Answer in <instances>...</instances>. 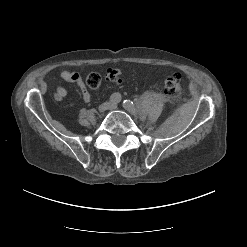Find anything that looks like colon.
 Masks as SVG:
<instances>
[{
  "instance_id": "5ec220e1",
  "label": "colon",
  "mask_w": 247,
  "mask_h": 247,
  "mask_svg": "<svg viewBox=\"0 0 247 247\" xmlns=\"http://www.w3.org/2000/svg\"><path fill=\"white\" fill-rule=\"evenodd\" d=\"M117 75L115 69H109L106 73L108 79H113ZM101 84V77L97 73H91L86 77V85L90 89H97ZM163 91L170 97H179L182 91L181 75L179 73H171L163 83Z\"/></svg>"
}]
</instances>
